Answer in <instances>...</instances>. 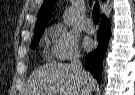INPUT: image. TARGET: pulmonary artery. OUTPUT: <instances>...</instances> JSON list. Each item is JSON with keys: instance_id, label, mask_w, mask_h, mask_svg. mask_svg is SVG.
<instances>
[{"instance_id": "1", "label": "pulmonary artery", "mask_w": 135, "mask_h": 95, "mask_svg": "<svg viewBox=\"0 0 135 95\" xmlns=\"http://www.w3.org/2000/svg\"><path fill=\"white\" fill-rule=\"evenodd\" d=\"M84 30L88 33H92L95 31V27L92 23V20L88 18L84 24Z\"/></svg>"}]
</instances>
